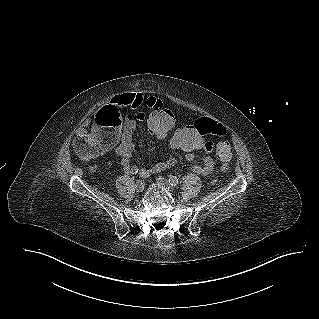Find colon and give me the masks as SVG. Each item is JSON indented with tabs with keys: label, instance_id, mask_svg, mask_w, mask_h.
I'll return each mask as SVG.
<instances>
[{
	"label": "colon",
	"instance_id": "obj_1",
	"mask_svg": "<svg viewBox=\"0 0 319 319\" xmlns=\"http://www.w3.org/2000/svg\"><path fill=\"white\" fill-rule=\"evenodd\" d=\"M176 114L173 109L170 113H153L151 109L146 114V123L152 136L170 151H182L186 154L199 153L203 150L207 139L220 141L216 147L217 158L227 169L232 159V148L224 139L227 130L206 116H198L194 125L179 128L176 124ZM203 133L204 135L200 134ZM73 148L77 155L86 161L93 160L99 155L100 149L91 145L89 137H77Z\"/></svg>",
	"mask_w": 319,
	"mask_h": 319
}]
</instances>
